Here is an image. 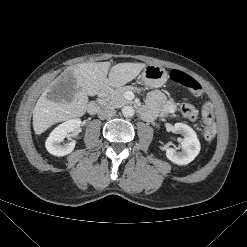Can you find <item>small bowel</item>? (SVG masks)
Here are the masks:
<instances>
[{
    "mask_svg": "<svg viewBox=\"0 0 247 247\" xmlns=\"http://www.w3.org/2000/svg\"><path fill=\"white\" fill-rule=\"evenodd\" d=\"M174 108V104L168 101L162 92L154 91L149 94L147 104L142 110V115L150 120L158 115L167 116L174 111Z\"/></svg>",
    "mask_w": 247,
    "mask_h": 247,
    "instance_id": "1",
    "label": "small bowel"
}]
</instances>
